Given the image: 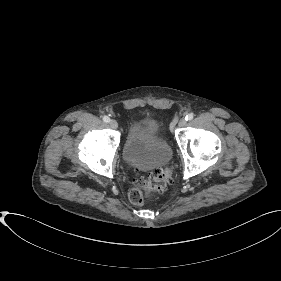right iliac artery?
<instances>
[{"instance_id": "82829eb1", "label": "right iliac artery", "mask_w": 281, "mask_h": 281, "mask_svg": "<svg viewBox=\"0 0 281 281\" xmlns=\"http://www.w3.org/2000/svg\"><path fill=\"white\" fill-rule=\"evenodd\" d=\"M103 121H104L105 123H109V122H110V118H109L108 116H104V117H103Z\"/></svg>"}]
</instances>
